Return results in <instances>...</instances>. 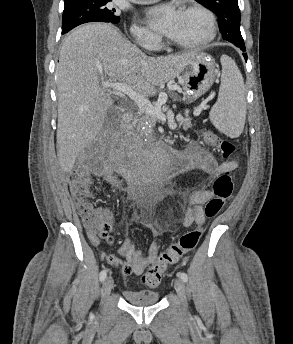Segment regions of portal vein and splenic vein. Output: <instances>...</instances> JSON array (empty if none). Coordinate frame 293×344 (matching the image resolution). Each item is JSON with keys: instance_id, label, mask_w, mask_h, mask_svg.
I'll list each match as a JSON object with an SVG mask.
<instances>
[{"instance_id": "obj_1", "label": "portal vein and splenic vein", "mask_w": 293, "mask_h": 344, "mask_svg": "<svg viewBox=\"0 0 293 344\" xmlns=\"http://www.w3.org/2000/svg\"><path fill=\"white\" fill-rule=\"evenodd\" d=\"M102 87L108 89L113 93H123L129 96L138 105L140 110L144 111L145 113L153 116L154 118L162 122L166 121V116L160 108L154 107L146 97L136 93L128 85L123 83L105 81L102 83Z\"/></svg>"}]
</instances>
